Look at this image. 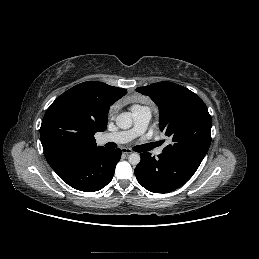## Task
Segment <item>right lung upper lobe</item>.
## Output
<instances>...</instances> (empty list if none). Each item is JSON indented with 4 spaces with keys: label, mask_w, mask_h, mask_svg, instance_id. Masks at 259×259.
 <instances>
[{
    "label": "right lung upper lobe",
    "mask_w": 259,
    "mask_h": 259,
    "mask_svg": "<svg viewBox=\"0 0 259 259\" xmlns=\"http://www.w3.org/2000/svg\"><path fill=\"white\" fill-rule=\"evenodd\" d=\"M126 93L123 88L87 81L60 95L47 109L40 128L41 143L49 165L54 167L71 156L103 149L97 147L94 134L106 130L110 106ZM57 120L73 125L75 137L69 144L57 145L46 138V128Z\"/></svg>",
    "instance_id": "right-lung-upper-lobe-1"
}]
</instances>
